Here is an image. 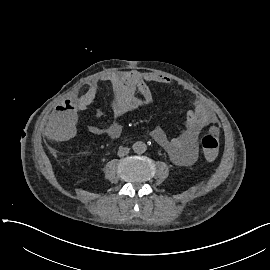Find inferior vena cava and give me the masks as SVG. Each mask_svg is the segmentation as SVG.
I'll return each instance as SVG.
<instances>
[{"label":"inferior vena cava","mask_w":270,"mask_h":270,"mask_svg":"<svg viewBox=\"0 0 270 270\" xmlns=\"http://www.w3.org/2000/svg\"><path fill=\"white\" fill-rule=\"evenodd\" d=\"M129 153V148L126 147H120L118 150V156L123 157Z\"/></svg>","instance_id":"1"}]
</instances>
